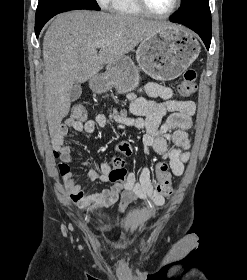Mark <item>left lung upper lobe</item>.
I'll use <instances>...</instances> for the list:
<instances>
[{
    "label": "left lung upper lobe",
    "instance_id": "obj_1",
    "mask_svg": "<svg viewBox=\"0 0 247 280\" xmlns=\"http://www.w3.org/2000/svg\"><path fill=\"white\" fill-rule=\"evenodd\" d=\"M184 5L180 7L176 19L201 26L211 27V12L208 0H183Z\"/></svg>",
    "mask_w": 247,
    "mask_h": 280
}]
</instances>
